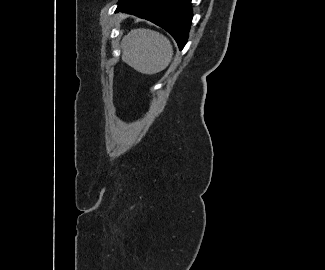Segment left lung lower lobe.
<instances>
[{
    "label": "left lung lower lobe",
    "mask_w": 325,
    "mask_h": 270,
    "mask_svg": "<svg viewBox=\"0 0 325 270\" xmlns=\"http://www.w3.org/2000/svg\"><path fill=\"white\" fill-rule=\"evenodd\" d=\"M116 11L149 20L168 31L180 50L192 21L191 0H120Z\"/></svg>",
    "instance_id": "0a47b994"
}]
</instances>
